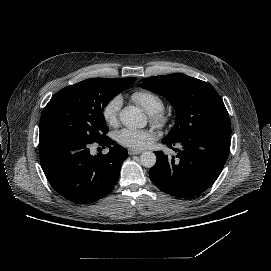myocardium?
I'll list each match as a JSON object with an SVG mask.
<instances>
[{
	"label": "myocardium",
	"mask_w": 271,
	"mask_h": 271,
	"mask_svg": "<svg viewBox=\"0 0 271 271\" xmlns=\"http://www.w3.org/2000/svg\"><path fill=\"white\" fill-rule=\"evenodd\" d=\"M149 118L153 126L160 128L166 126L170 122L171 116L166 110L161 109L150 113Z\"/></svg>",
	"instance_id": "f54148a6"
}]
</instances>
